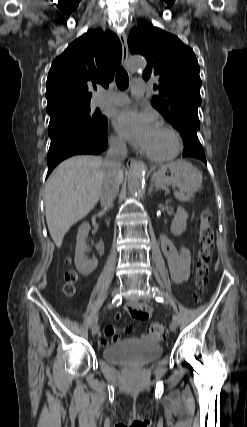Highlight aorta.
<instances>
[{
	"label": "aorta",
	"instance_id": "obj_1",
	"mask_svg": "<svg viewBox=\"0 0 247 427\" xmlns=\"http://www.w3.org/2000/svg\"><path fill=\"white\" fill-rule=\"evenodd\" d=\"M146 60L141 56H132L128 60V67L131 71H137L145 68ZM144 171L142 163L133 164L128 174V189L133 197L141 196L144 188Z\"/></svg>",
	"mask_w": 247,
	"mask_h": 427
}]
</instances>
